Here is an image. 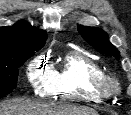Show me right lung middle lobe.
<instances>
[{"mask_svg": "<svg viewBox=\"0 0 131 115\" xmlns=\"http://www.w3.org/2000/svg\"><path fill=\"white\" fill-rule=\"evenodd\" d=\"M34 51H23L12 56L6 64H0V98L10 94L17 85L18 68L34 55Z\"/></svg>", "mask_w": 131, "mask_h": 115, "instance_id": "right-lung-middle-lobe-1", "label": "right lung middle lobe"}]
</instances>
